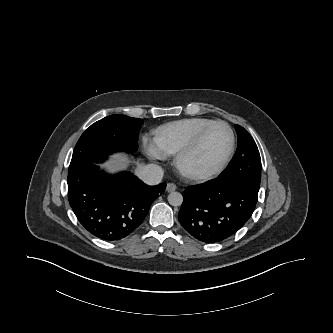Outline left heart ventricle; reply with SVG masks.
I'll return each instance as SVG.
<instances>
[{
	"mask_svg": "<svg viewBox=\"0 0 333 333\" xmlns=\"http://www.w3.org/2000/svg\"><path fill=\"white\" fill-rule=\"evenodd\" d=\"M229 146L228 130L222 125H216L206 134L199 148L186 161V165L196 172L211 171L224 159Z\"/></svg>",
	"mask_w": 333,
	"mask_h": 333,
	"instance_id": "b2bd125f",
	"label": "left heart ventricle"
}]
</instances>
